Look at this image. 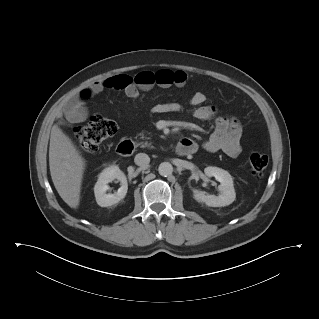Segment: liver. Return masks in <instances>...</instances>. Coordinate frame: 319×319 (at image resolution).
I'll use <instances>...</instances> for the list:
<instances>
[{
    "mask_svg": "<svg viewBox=\"0 0 319 319\" xmlns=\"http://www.w3.org/2000/svg\"><path fill=\"white\" fill-rule=\"evenodd\" d=\"M49 166L58 194L68 206L77 208L85 160L72 140L57 125L53 126L50 135Z\"/></svg>",
    "mask_w": 319,
    "mask_h": 319,
    "instance_id": "6515ba94",
    "label": "liver"
}]
</instances>
